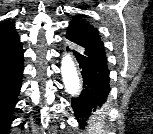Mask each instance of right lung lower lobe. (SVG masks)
Masks as SVG:
<instances>
[{"mask_svg":"<svg viewBox=\"0 0 153 134\" xmlns=\"http://www.w3.org/2000/svg\"><path fill=\"white\" fill-rule=\"evenodd\" d=\"M22 43L0 50V134H8L22 84Z\"/></svg>","mask_w":153,"mask_h":134,"instance_id":"right-lung-lower-lobe-1","label":"right lung lower lobe"}]
</instances>
